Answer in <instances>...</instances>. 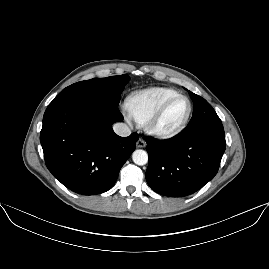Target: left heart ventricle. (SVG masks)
I'll list each match as a JSON object with an SVG mask.
<instances>
[{"label":"left heart ventricle","instance_id":"b2bd125f","mask_svg":"<svg viewBox=\"0 0 269 269\" xmlns=\"http://www.w3.org/2000/svg\"><path fill=\"white\" fill-rule=\"evenodd\" d=\"M188 110V102L181 98L176 100L167 110L160 123L158 129L162 132H171L177 129L183 122Z\"/></svg>","mask_w":269,"mask_h":269}]
</instances>
